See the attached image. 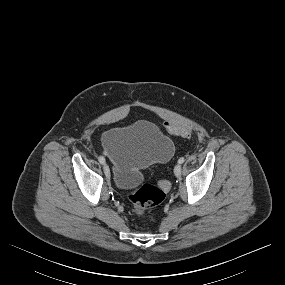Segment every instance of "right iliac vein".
Wrapping results in <instances>:
<instances>
[{
	"instance_id": "obj_1",
	"label": "right iliac vein",
	"mask_w": 285,
	"mask_h": 285,
	"mask_svg": "<svg viewBox=\"0 0 285 285\" xmlns=\"http://www.w3.org/2000/svg\"><path fill=\"white\" fill-rule=\"evenodd\" d=\"M103 169H104L105 175H106L107 177H109V176H110V169H109V166H108L107 164H104Z\"/></svg>"
}]
</instances>
